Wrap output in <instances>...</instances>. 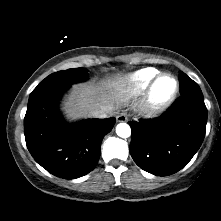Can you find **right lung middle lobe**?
<instances>
[{
  "label": "right lung middle lobe",
  "mask_w": 221,
  "mask_h": 221,
  "mask_svg": "<svg viewBox=\"0 0 221 221\" xmlns=\"http://www.w3.org/2000/svg\"><path fill=\"white\" fill-rule=\"evenodd\" d=\"M86 79H88V73L84 68L58 71L52 73L39 83L38 86L31 92L30 97L52 88L68 87L73 83L84 81Z\"/></svg>",
  "instance_id": "obj_1"
}]
</instances>
